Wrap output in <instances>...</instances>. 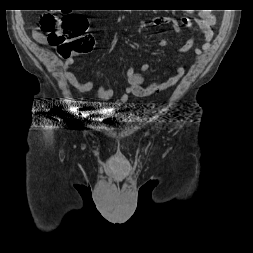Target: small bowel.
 Returning <instances> with one entry per match:
<instances>
[{"label":"small bowel","instance_id":"obj_1","mask_svg":"<svg viewBox=\"0 0 253 253\" xmlns=\"http://www.w3.org/2000/svg\"><path fill=\"white\" fill-rule=\"evenodd\" d=\"M197 25L204 35V43L202 44V49L195 48L194 54L200 56L202 50H208L210 48V42L213 39V25L215 23V18L210 11H201L200 14L195 18ZM152 24L156 26L169 25L173 28L176 33L181 30V25L191 28L192 21L187 17H182L180 21L172 17L155 18L152 20ZM34 38L39 43H46L47 37L40 31L34 33ZM167 44L165 39H161L159 42L160 46H165ZM194 45V39H189L184 45L180 46L177 51L180 53H185L192 49ZM73 64V59L69 58L64 63L65 77L72 87L81 95L92 92L94 97L100 100H108L113 96V90L110 87L103 85H98L92 81L81 82L76 75L70 70V66ZM150 66L148 63H142L139 70L136 71L135 67L131 66L126 71V81L127 86L123 89L121 96L119 97L117 104L125 103L130 95L136 97H148L152 94L160 91H164L178 83V81L185 74V69L183 67H176L174 69V75L169 77L163 82L152 83L149 85L144 84L143 73L149 70Z\"/></svg>","mask_w":253,"mask_h":253}]
</instances>
